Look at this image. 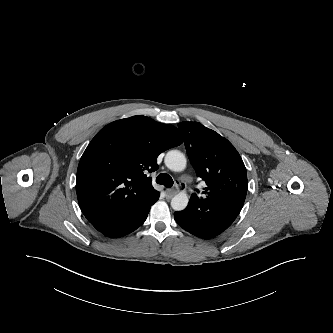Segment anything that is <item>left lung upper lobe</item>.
<instances>
[{"mask_svg": "<svg viewBox=\"0 0 333 333\" xmlns=\"http://www.w3.org/2000/svg\"><path fill=\"white\" fill-rule=\"evenodd\" d=\"M178 127L184 136L190 162L197 176L207 185L203 197L229 189L247 193L245 165L227 139L197 122H181ZM192 196L197 197L196 194Z\"/></svg>", "mask_w": 333, "mask_h": 333, "instance_id": "obj_1", "label": "left lung upper lobe"}]
</instances>
